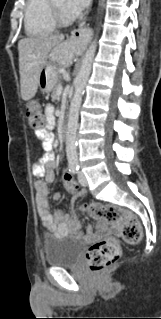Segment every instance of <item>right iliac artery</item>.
<instances>
[{"label": "right iliac artery", "mask_w": 161, "mask_h": 319, "mask_svg": "<svg viewBox=\"0 0 161 319\" xmlns=\"http://www.w3.org/2000/svg\"><path fill=\"white\" fill-rule=\"evenodd\" d=\"M79 170V166L78 165H71L69 167V171L72 173V174H76Z\"/></svg>", "instance_id": "obj_1"}]
</instances>
